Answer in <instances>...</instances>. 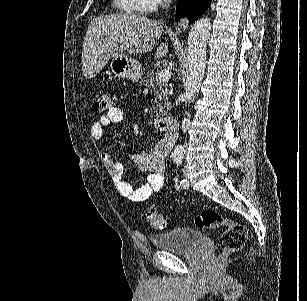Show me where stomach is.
<instances>
[{
    "label": "stomach",
    "instance_id": "stomach-1",
    "mask_svg": "<svg viewBox=\"0 0 307 301\" xmlns=\"http://www.w3.org/2000/svg\"><path fill=\"white\" fill-rule=\"evenodd\" d=\"M110 68L118 78H128L132 82H138L143 72L140 62L127 54H115L110 62Z\"/></svg>",
    "mask_w": 307,
    "mask_h": 301
}]
</instances>
